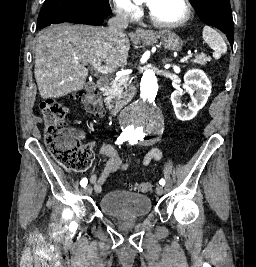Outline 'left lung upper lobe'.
Masks as SVG:
<instances>
[{"mask_svg":"<svg viewBox=\"0 0 256 267\" xmlns=\"http://www.w3.org/2000/svg\"><path fill=\"white\" fill-rule=\"evenodd\" d=\"M203 22L224 32L233 47L234 23L229 0H192Z\"/></svg>","mask_w":256,"mask_h":267,"instance_id":"5c2ea615","label":"left lung upper lobe"}]
</instances>
